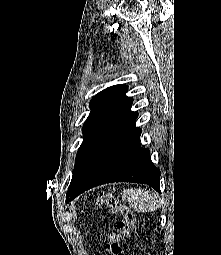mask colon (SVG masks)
<instances>
[{
	"label": "colon",
	"mask_w": 221,
	"mask_h": 255,
	"mask_svg": "<svg viewBox=\"0 0 221 255\" xmlns=\"http://www.w3.org/2000/svg\"><path fill=\"white\" fill-rule=\"evenodd\" d=\"M96 204L107 207L111 213L120 217L116 230L109 234L106 251L109 255H126L123 243L130 237L135 224L133 212L117 196L108 192H101Z\"/></svg>",
	"instance_id": "5ec220e1"
}]
</instances>
